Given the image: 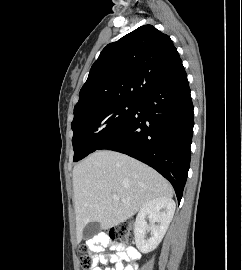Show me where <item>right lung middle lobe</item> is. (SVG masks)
Listing matches in <instances>:
<instances>
[{
  "mask_svg": "<svg viewBox=\"0 0 242 270\" xmlns=\"http://www.w3.org/2000/svg\"><path fill=\"white\" fill-rule=\"evenodd\" d=\"M137 100H117L74 115L71 128L74 162L115 135L133 113Z\"/></svg>",
  "mask_w": 242,
  "mask_h": 270,
  "instance_id": "dd1d6c3e",
  "label": "right lung middle lobe"
}]
</instances>
